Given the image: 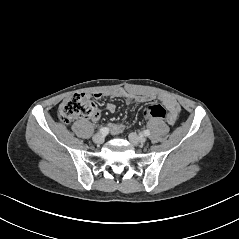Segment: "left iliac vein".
I'll return each instance as SVG.
<instances>
[{
	"label": "left iliac vein",
	"instance_id": "1",
	"mask_svg": "<svg viewBox=\"0 0 239 239\" xmlns=\"http://www.w3.org/2000/svg\"><path fill=\"white\" fill-rule=\"evenodd\" d=\"M129 141L135 145V146H139L142 143H144L146 141V139L144 137H140L138 136L136 133H130L129 134Z\"/></svg>",
	"mask_w": 239,
	"mask_h": 239
}]
</instances>
